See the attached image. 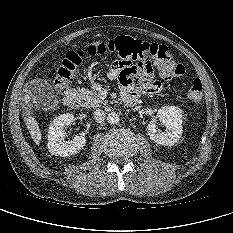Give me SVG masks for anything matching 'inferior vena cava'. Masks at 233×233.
Returning <instances> with one entry per match:
<instances>
[{
	"instance_id": "1",
	"label": "inferior vena cava",
	"mask_w": 233,
	"mask_h": 233,
	"mask_svg": "<svg viewBox=\"0 0 233 233\" xmlns=\"http://www.w3.org/2000/svg\"><path fill=\"white\" fill-rule=\"evenodd\" d=\"M93 116L95 121L98 123H102L106 118L105 112L101 109L95 110Z\"/></svg>"
}]
</instances>
